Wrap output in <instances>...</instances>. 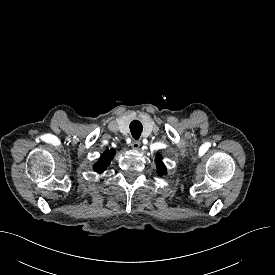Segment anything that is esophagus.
I'll list each match as a JSON object with an SVG mask.
<instances>
[{
  "mask_svg": "<svg viewBox=\"0 0 275 275\" xmlns=\"http://www.w3.org/2000/svg\"><path fill=\"white\" fill-rule=\"evenodd\" d=\"M140 145H141V143H140L139 140H133L132 143H131V146L134 149H139Z\"/></svg>",
  "mask_w": 275,
  "mask_h": 275,
  "instance_id": "34e87169",
  "label": "esophagus"
}]
</instances>
